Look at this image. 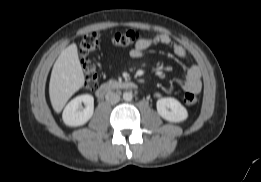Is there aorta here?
Returning a JSON list of instances; mask_svg holds the SVG:
<instances>
[{
  "label": "aorta",
  "instance_id": "1",
  "mask_svg": "<svg viewBox=\"0 0 261 182\" xmlns=\"http://www.w3.org/2000/svg\"><path fill=\"white\" fill-rule=\"evenodd\" d=\"M132 98H133L132 92H124V93H123V99H124L125 101H131Z\"/></svg>",
  "mask_w": 261,
  "mask_h": 182
}]
</instances>
